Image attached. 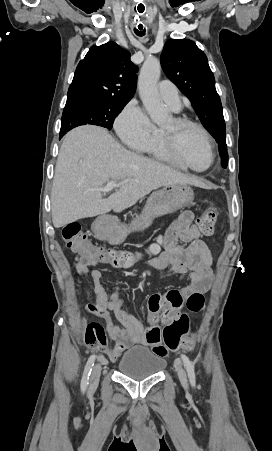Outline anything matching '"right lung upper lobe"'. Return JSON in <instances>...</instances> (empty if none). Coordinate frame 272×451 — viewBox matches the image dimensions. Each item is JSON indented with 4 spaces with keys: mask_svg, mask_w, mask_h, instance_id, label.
Segmentation results:
<instances>
[{
    "mask_svg": "<svg viewBox=\"0 0 272 451\" xmlns=\"http://www.w3.org/2000/svg\"><path fill=\"white\" fill-rule=\"evenodd\" d=\"M136 72L130 53L116 43L92 46L76 68L67 102L78 99L130 101L136 91Z\"/></svg>",
    "mask_w": 272,
    "mask_h": 451,
    "instance_id": "cb5924a9",
    "label": "right lung upper lobe"
}]
</instances>
